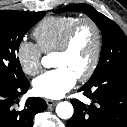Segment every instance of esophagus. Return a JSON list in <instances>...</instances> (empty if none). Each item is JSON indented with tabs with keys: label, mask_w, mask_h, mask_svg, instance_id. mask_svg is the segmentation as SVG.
Here are the masks:
<instances>
[{
	"label": "esophagus",
	"mask_w": 127,
	"mask_h": 127,
	"mask_svg": "<svg viewBox=\"0 0 127 127\" xmlns=\"http://www.w3.org/2000/svg\"><path fill=\"white\" fill-rule=\"evenodd\" d=\"M46 103H47V105H48L49 107H51V106L56 105V104H57V101L47 99V100H46Z\"/></svg>",
	"instance_id": "esophagus-1"
}]
</instances>
